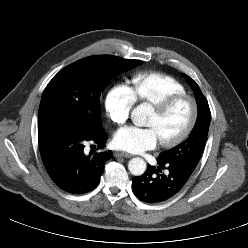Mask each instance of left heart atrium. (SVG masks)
<instances>
[{
  "label": "left heart atrium",
  "mask_w": 248,
  "mask_h": 248,
  "mask_svg": "<svg viewBox=\"0 0 248 248\" xmlns=\"http://www.w3.org/2000/svg\"><path fill=\"white\" fill-rule=\"evenodd\" d=\"M158 143L159 138L152 127L127 126L118 130L114 136V145L131 153L153 149Z\"/></svg>",
  "instance_id": "obj_1"
}]
</instances>
